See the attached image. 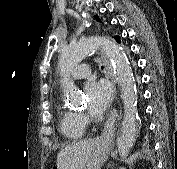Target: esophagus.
<instances>
[{"label": "esophagus", "mask_w": 177, "mask_h": 169, "mask_svg": "<svg viewBox=\"0 0 177 169\" xmlns=\"http://www.w3.org/2000/svg\"><path fill=\"white\" fill-rule=\"evenodd\" d=\"M101 55H102V59H103L104 64H105L106 76L108 78H110L111 82L113 83L112 86H111V91H115L112 94L111 113L109 115L108 120L105 123L103 132L100 136V140H103V139L105 140L112 135L115 123H116L117 119L119 118L118 114H117L118 113V102H117V100H119L120 92H116V86H115L116 81L114 79V76L112 75V68H111V65L109 64V61L106 59V57L103 54H101Z\"/></svg>", "instance_id": "obj_1"}]
</instances>
